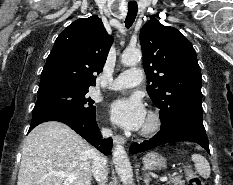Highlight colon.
<instances>
[{
    "mask_svg": "<svg viewBox=\"0 0 233 185\" xmlns=\"http://www.w3.org/2000/svg\"><path fill=\"white\" fill-rule=\"evenodd\" d=\"M188 177V185H206L201 177H199L191 168L186 169Z\"/></svg>",
    "mask_w": 233,
    "mask_h": 185,
    "instance_id": "5ec220e1",
    "label": "colon"
}]
</instances>
